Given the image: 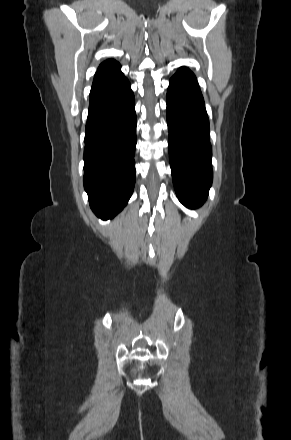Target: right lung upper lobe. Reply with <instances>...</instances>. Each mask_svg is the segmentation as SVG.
<instances>
[{"mask_svg":"<svg viewBox=\"0 0 291 440\" xmlns=\"http://www.w3.org/2000/svg\"><path fill=\"white\" fill-rule=\"evenodd\" d=\"M120 64L114 59H107L103 63L100 64L98 70H105L119 66Z\"/></svg>","mask_w":291,"mask_h":440,"instance_id":"1","label":"right lung upper lobe"}]
</instances>
